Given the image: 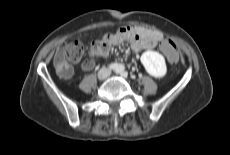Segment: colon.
I'll return each mask as SVG.
<instances>
[{
  "mask_svg": "<svg viewBox=\"0 0 230 155\" xmlns=\"http://www.w3.org/2000/svg\"><path fill=\"white\" fill-rule=\"evenodd\" d=\"M157 48L161 50L164 56H167L169 62L173 65L179 62L178 50L170 39H160L157 41ZM108 51V45L105 41L93 42L89 48L79 41L65 43L56 51L53 57V65L56 73L64 79L72 76V68L69 62H78L84 59L85 64L89 61L85 59L86 53L94 58H101Z\"/></svg>",
  "mask_w": 230,
  "mask_h": 155,
  "instance_id": "colon-1",
  "label": "colon"
}]
</instances>
